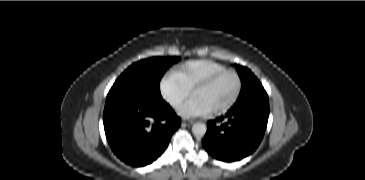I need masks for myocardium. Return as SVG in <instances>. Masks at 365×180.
<instances>
[{"instance_id":"myocardium-1","label":"myocardium","mask_w":365,"mask_h":180,"mask_svg":"<svg viewBox=\"0 0 365 180\" xmlns=\"http://www.w3.org/2000/svg\"><path fill=\"white\" fill-rule=\"evenodd\" d=\"M227 74H233L236 77V79H237L236 91H235L234 95L232 96V98L227 103H225L224 105H222L218 108H214V109L210 110L211 113L221 114V113L227 112L236 104V102L238 101V99L241 95L242 88H243V80H242L241 75L234 69H226V70L210 77L209 79L205 80L204 82L199 84L193 90L192 96L194 97L198 92L211 86L212 84H214L215 82H217L219 79H221L222 77H224Z\"/></svg>"}]
</instances>
